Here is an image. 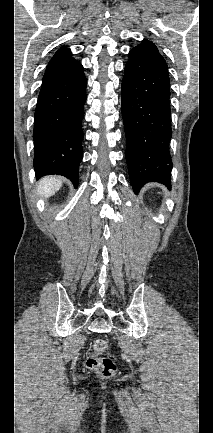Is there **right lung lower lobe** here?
<instances>
[{
    "mask_svg": "<svg viewBox=\"0 0 213 433\" xmlns=\"http://www.w3.org/2000/svg\"><path fill=\"white\" fill-rule=\"evenodd\" d=\"M86 86L83 66L75 59L53 60L47 65L34 115L37 178L63 175L78 185Z\"/></svg>",
    "mask_w": 213,
    "mask_h": 433,
    "instance_id": "obj_1",
    "label": "right lung lower lobe"
}]
</instances>
